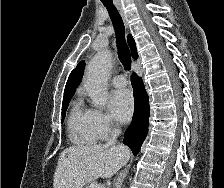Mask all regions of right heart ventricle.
<instances>
[{"instance_id": "1", "label": "right heart ventricle", "mask_w": 224, "mask_h": 188, "mask_svg": "<svg viewBox=\"0 0 224 188\" xmlns=\"http://www.w3.org/2000/svg\"><path fill=\"white\" fill-rule=\"evenodd\" d=\"M68 129L70 139L75 144H94L98 139L89 124L87 111L83 110L79 103L74 105L70 113Z\"/></svg>"}]
</instances>
